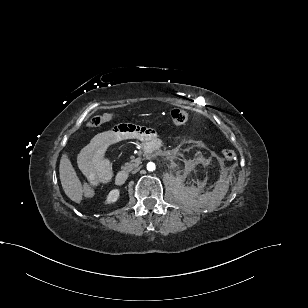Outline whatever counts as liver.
Here are the masks:
<instances>
[{
  "instance_id": "6515ba94",
  "label": "liver",
  "mask_w": 308,
  "mask_h": 308,
  "mask_svg": "<svg viewBox=\"0 0 308 308\" xmlns=\"http://www.w3.org/2000/svg\"><path fill=\"white\" fill-rule=\"evenodd\" d=\"M60 180L65 194L74 202L82 200V184L73 168L67 153L62 155L59 165Z\"/></svg>"
}]
</instances>
